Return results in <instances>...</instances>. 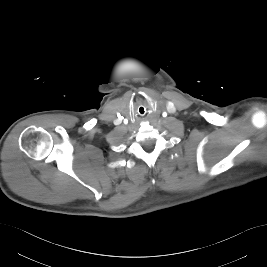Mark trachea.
<instances>
[{
  "instance_id": "obj_1",
  "label": "trachea",
  "mask_w": 267,
  "mask_h": 267,
  "mask_svg": "<svg viewBox=\"0 0 267 267\" xmlns=\"http://www.w3.org/2000/svg\"><path fill=\"white\" fill-rule=\"evenodd\" d=\"M137 113H138L141 117H143V116H145V114H146V110H145V108H144L143 106H140V107L137 109Z\"/></svg>"
}]
</instances>
